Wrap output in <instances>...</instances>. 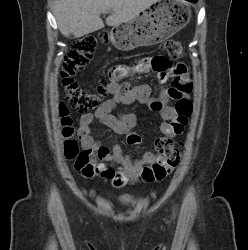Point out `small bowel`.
Listing matches in <instances>:
<instances>
[{
	"label": "small bowel",
	"mask_w": 248,
	"mask_h": 250,
	"mask_svg": "<svg viewBox=\"0 0 248 250\" xmlns=\"http://www.w3.org/2000/svg\"><path fill=\"white\" fill-rule=\"evenodd\" d=\"M155 60H160V64H156ZM130 71L141 73L156 71L163 80L168 79L172 74L176 78L171 88H161L159 90L156 102L153 103L152 88L149 85L140 84L133 86L131 83L123 81V78ZM171 89L178 94L177 102L173 106L169 105ZM191 91L192 82L189 76V69L183 63L172 65L163 57H144L133 66L118 65L113 67L109 72V84L106 87V93L111 98L104 101L94 113L83 114L80 117L77 128V136L83 149L94 152L97 155L99 163H94L93 165L98 168V171H88L84 168H78L77 165H75V168L85 178L91 179L95 176H101L110 180L113 186L117 188L123 187L127 182L138 180L139 178L152 181L145 178L143 172L145 168L161 162L160 157L151 151H146L140 158L131 160L123 153L120 144L115 143L108 147L96 142L91 135V124L94 120H97L118 134L128 135V141L136 144L140 141V137L132 133V129L137 121L136 115L134 113L113 115L111 112L117 104L129 105L136 101L150 103L154 110L160 111L164 119L160 127L161 132L167 138L172 139L180 135L187 124L192 106ZM106 163L118 165L119 170L107 167ZM172 171L173 169H169L167 175Z\"/></svg>",
	"instance_id": "small-bowel-1"
}]
</instances>
